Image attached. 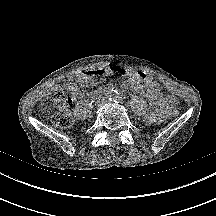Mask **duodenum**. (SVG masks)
<instances>
[{"mask_svg": "<svg viewBox=\"0 0 216 216\" xmlns=\"http://www.w3.org/2000/svg\"><path fill=\"white\" fill-rule=\"evenodd\" d=\"M106 91H107V89H105V88H100V89L98 90V93H97V94H101V93L106 92Z\"/></svg>", "mask_w": 216, "mask_h": 216, "instance_id": "duodenum-1", "label": "duodenum"}]
</instances>
